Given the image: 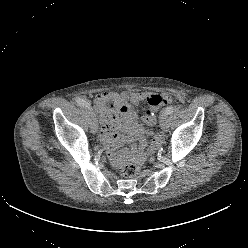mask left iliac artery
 Returning <instances> with one entry per match:
<instances>
[{"label": "left iliac artery", "mask_w": 248, "mask_h": 248, "mask_svg": "<svg viewBox=\"0 0 248 248\" xmlns=\"http://www.w3.org/2000/svg\"><path fill=\"white\" fill-rule=\"evenodd\" d=\"M173 110H174V106H172V105H170V106H168V107L166 108V112H167L168 114H171V113L173 112Z\"/></svg>", "instance_id": "obj_1"}]
</instances>
